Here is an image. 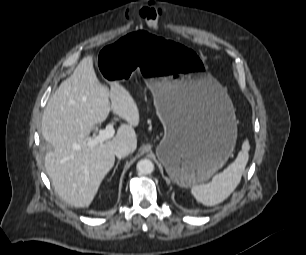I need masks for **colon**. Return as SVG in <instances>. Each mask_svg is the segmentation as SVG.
<instances>
[{
  "label": "colon",
  "mask_w": 306,
  "mask_h": 255,
  "mask_svg": "<svg viewBox=\"0 0 306 255\" xmlns=\"http://www.w3.org/2000/svg\"><path fill=\"white\" fill-rule=\"evenodd\" d=\"M161 13L160 8L151 6L142 8L140 14L150 27L155 28L159 23Z\"/></svg>",
  "instance_id": "colon-1"
}]
</instances>
